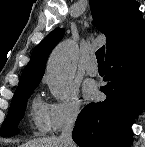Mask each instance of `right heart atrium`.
Segmentation results:
<instances>
[{"label": "right heart atrium", "mask_w": 145, "mask_h": 147, "mask_svg": "<svg viewBox=\"0 0 145 147\" xmlns=\"http://www.w3.org/2000/svg\"><path fill=\"white\" fill-rule=\"evenodd\" d=\"M80 113V100L76 89L61 100L45 105L46 128L50 132H56L63 127L73 124Z\"/></svg>", "instance_id": "d8ad5b80"}]
</instances>
